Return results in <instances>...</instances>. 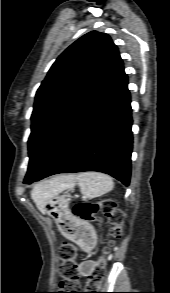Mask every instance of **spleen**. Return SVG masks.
Instances as JSON below:
<instances>
[{"label":"spleen","mask_w":170,"mask_h":293,"mask_svg":"<svg viewBox=\"0 0 170 293\" xmlns=\"http://www.w3.org/2000/svg\"><path fill=\"white\" fill-rule=\"evenodd\" d=\"M80 192L85 198L93 199L110 192L114 183L110 176L100 172H82L77 177Z\"/></svg>","instance_id":"1"}]
</instances>
